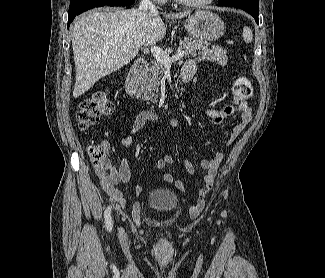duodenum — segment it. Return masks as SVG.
Masks as SVG:
<instances>
[{"mask_svg":"<svg viewBox=\"0 0 325 278\" xmlns=\"http://www.w3.org/2000/svg\"><path fill=\"white\" fill-rule=\"evenodd\" d=\"M148 64L144 59H138L132 66L126 83L125 89L128 96L133 101H139L141 95V81L146 74ZM193 70L190 67H184L182 71V78L185 82L192 79Z\"/></svg>","mask_w":325,"mask_h":278,"instance_id":"obj_1","label":"duodenum"}]
</instances>
